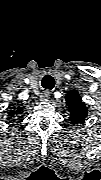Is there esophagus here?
<instances>
[{
    "mask_svg": "<svg viewBox=\"0 0 101 180\" xmlns=\"http://www.w3.org/2000/svg\"><path fill=\"white\" fill-rule=\"evenodd\" d=\"M41 101H49L50 91H44L40 96Z\"/></svg>",
    "mask_w": 101,
    "mask_h": 180,
    "instance_id": "esophagus-1",
    "label": "esophagus"
}]
</instances>
